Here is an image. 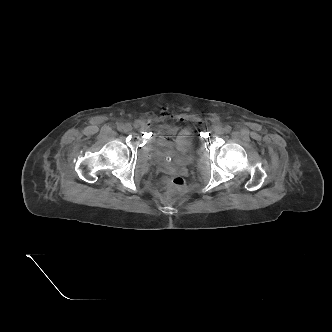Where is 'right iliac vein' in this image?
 <instances>
[{
  "label": "right iliac vein",
  "instance_id": "obj_1",
  "mask_svg": "<svg viewBox=\"0 0 332 332\" xmlns=\"http://www.w3.org/2000/svg\"><path fill=\"white\" fill-rule=\"evenodd\" d=\"M132 130V126L129 123H126L125 125H123V131L124 132H130Z\"/></svg>",
  "mask_w": 332,
  "mask_h": 332
}]
</instances>
